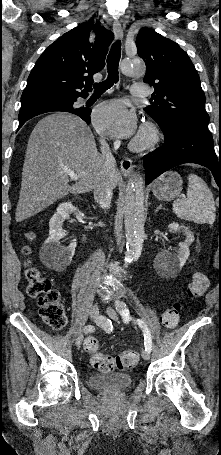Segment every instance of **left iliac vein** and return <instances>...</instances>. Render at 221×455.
<instances>
[{"mask_svg": "<svg viewBox=\"0 0 221 455\" xmlns=\"http://www.w3.org/2000/svg\"><path fill=\"white\" fill-rule=\"evenodd\" d=\"M116 306H117V304H116ZM107 314L113 320H117L118 319V315H117L116 311L114 309H112V308H108L107 309ZM141 355H142L144 360H149L150 359V353L148 351H146V350H142Z\"/></svg>", "mask_w": 221, "mask_h": 455, "instance_id": "1", "label": "left iliac vein"}]
</instances>
